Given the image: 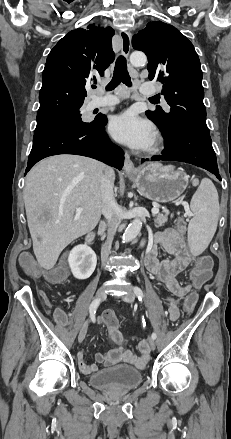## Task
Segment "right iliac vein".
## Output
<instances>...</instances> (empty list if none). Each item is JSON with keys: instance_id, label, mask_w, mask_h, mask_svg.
I'll list each match as a JSON object with an SVG mask.
<instances>
[{"instance_id": "right-iliac-vein-1", "label": "right iliac vein", "mask_w": 231, "mask_h": 439, "mask_svg": "<svg viewBox=\"0 0 231 439\" xmlns=\"http://www.w3.org/2000/svg\"><path fill=\"white\" fill-rule=\"evenodd\" d=\"M105 297H106V289H105V287H102L97 291V293L95 295V300L102 301L105 299ZM88 325H89V318H87L84 321V323L81 327V330H80V333L78 336L79 343H81L84 340L86 333H87Z\"/></svg>"}]
</instances>
